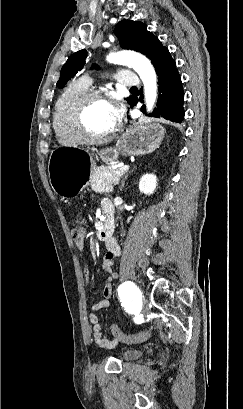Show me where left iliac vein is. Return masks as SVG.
<instances>
[{
  "instance_id": "obj_1",
  "label": "left iliac vein",
  "mask_w": 243,
  "mask_h": 409,
  "mask_svg": "<svg viewBox=\"0 0 243 409\" xmlns=\"http://www.w3.org/2000/svg\"><path fill=\"white\" fill-rule=\"evenodd\" d=\"M149 312H150V309H149L148 303H147V301H144L143 302V314L147 315V314H149Z\"/></svg>"
}]
</instances>
